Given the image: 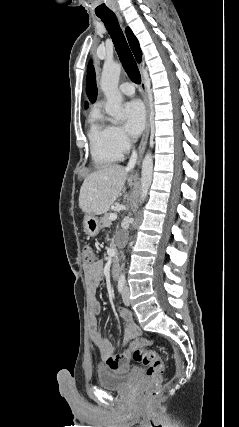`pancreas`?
<instances>
[{
  "label": "pancreas",
  "instance_id": "pancreas-1",
  "mask_svg": "<svg viewBox=\"0 0 239 427\" xmlns=\"http://www.w3.org/2000/svg\"><path fill=\"white\" fill-rule=\"evenodd\" d=\"M110 214H105L101 220L102 227H109L111 225Z\"/></svg>",
  "mask_w": 239,
  "mask_h": 427
}]
</instances>
